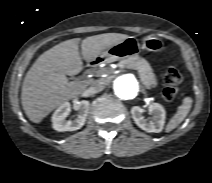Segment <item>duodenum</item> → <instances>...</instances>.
Returning <instances> with one entry per match:
<instances>
[{"mask_svg":"<svg viewBox=\"0 0 212 183\" xmlns=\"http://www.w3.org/2000/svg\"><path fill=\"white\" fill-rule=\"evenodd\" d=\"M99 62H100V59H96L94 61L89 62V66H96L99 64Z\"/></svg>","mask_w":212,"mask_h":183,"instance_id":"obj_1","label":"duodenum"}]
</instances>
